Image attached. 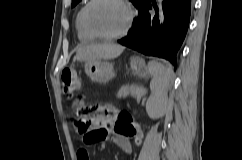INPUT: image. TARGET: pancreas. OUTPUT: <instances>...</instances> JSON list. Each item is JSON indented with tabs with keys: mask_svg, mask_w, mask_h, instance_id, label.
<instances>
[{
	"mask_svg": "<svg viewBox=\"0 0 242 160\" xmlns=\"http://www.w3.org/2000/svg\"><path fill=\"white\" fill-rule=\"evenodd\" d=\"M143 93H144L143 89L136 84L125 85V86L121 87V89L118 91L117 97L125 98L128 95H132L137 100H140Z\"/></svg>",
	"mask_w": 242,
	"mask_h": 160,
	"instance_id": "1",
	"label": "pancreas"
}]
</instances>
